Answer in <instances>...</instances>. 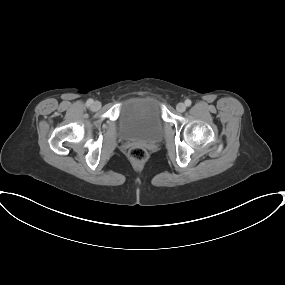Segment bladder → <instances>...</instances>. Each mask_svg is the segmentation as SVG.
I'll return each mask as SVG.
<instances>
[{
    "mask_svg": "<svg viewBox=\"0 0 285 285\" xmlns=\"http://www.w3.org/2000/svg\"><path fill=\"white\" fill-rule=\"evenodd\" d=\"M118 127L123 140L160 141L164 131L160 103L152 97L130 99L120 110Z\"/></svg>",
    "mask_w": 285,
    "mask_h": 285,
    "instance_id": "obj_1",
    "label": "bladder"
}]
</instances>
